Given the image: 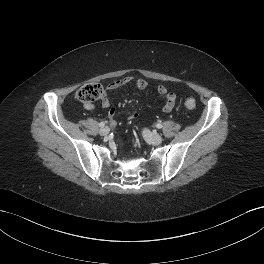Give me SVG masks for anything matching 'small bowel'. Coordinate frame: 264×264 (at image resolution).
I'll return each mask as SVG.
<instances>
[{"label": "small bowel", "mask_w": 264, "mask_h": 264, "mask_svg": "<svg viewBox=\"0 0 264 264\" xmlns=\"http://www.w3.org/2000/svg\"><path fill=\"white\" fill-rule=\"evenodd\" d=\"M128 85L137 89V90H144L147 88L148 82L144 79H135L133 77H125V78L118 79V80L111 82L110 84H108L107 89L110 91H113V90H117V89H120V88L128 86ZM156 91H157V94L159 96L165 97V103L163 106V111L164 112H170L173 109L174 104H175V100H176L175 95L173 93H169L167 91L166 87L163 85H159L157 87ZM102 106L103 107H109L110 106V101H109L108 97L105 96L102 99ZM84 107L87 110H94L95 109V105L92 103H86L84 105ZM116 114H117V109L114 107L111 108L109 111V119H110V122L112 124L114 123V118H115Z\"/></svg>", "instance_id": "c3829d8e"}]
</instances>
